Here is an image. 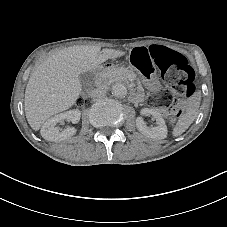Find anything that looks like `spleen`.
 I'll use <instances>...</instances> for the list:
<instances>
[{"instance_id":"obj_1","label":"spleen","mask_w":227,"mask_h":227,"mask_svg":"<svg viewBox=\"0 0 227 227\" xmlns=\"http://www.w3.org/2000/svg\"><path fill=\"white\" fill-rule=\"evenodd\" d=\"M196 116H197V113L195 110L182 114L178 118L176 126L173 129V132H172L173 136L177 137V136H180L181 134H183L189 128V126L193 123Z\"/></svg>"}]
</instances>
